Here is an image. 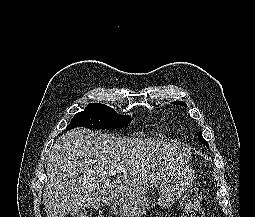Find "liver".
Listing matches in <instances>:
<instances>
[{
  "label": "liver",
  "instance_id": "obj_1",
  "mask_svg": "<svg viewBox=\"0 0 255 217\" xmlns=\"http://www.w3.org/2000/svg\"><path fill=\"white\" fill-rule=\"evenodd\" d=\"M190 159L191 148L184 144L70 130L50 149L43 194L47 217L140 198ZM114 166L124 171L111 180L104 173Z\"/></svg>",
  "mask_w": 255,
  "mask_h": 217
}]
</instances>
